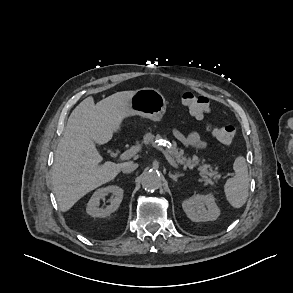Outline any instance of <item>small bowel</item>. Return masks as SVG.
<instances>
[{
	"label": "small bowel",
	"instance_id": "1",
	"mask_svg": "<svg viewBox=\"0 0 293 293\" xmlns=\"http://www.w3.org/2000/svg\"><path fill=\"white\" fill-rule=\"evenodd\" d=\"M175 137L185 146L194 148H205L207 143L204 141L200 134L196 131L189 134H184L180 130H174Z\"/></svg>",
	"mask_w": 293,
	"mask_h": 293
}]
</instances>
